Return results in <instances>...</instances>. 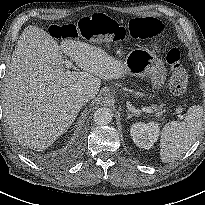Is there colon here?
Returning <instances> with one entry per match:
<instances>
[{
    "label": "colon",
    "mask_w": 205,
    "mask_h": 205,
    "mask_svg": "<svg viewBox=\"0 0 205 205\" xmlns=\"http://www.w3.org/2000/svg\"><path fill=\"white\" fill-rule=\"evenodd\" d=\"M163 26L154 17H136L129 23V33L134 39L149 40L161 34ZM49 33L58 40L83 38L98 43L118 42L123 39L122 30L105 14L97 13L84 17L79 23L52 24ZM171 69L170 90L182 95L187 90L188 75L181 62L180 50L170 46L166 55Z\"/></svg>",
    "instance_id": "1"
}]
</instances>
